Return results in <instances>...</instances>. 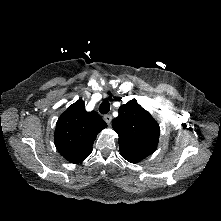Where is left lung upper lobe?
<instances>
[{
  "label": "left lung upper lobe",
  "instance_id": "left-lung-upper-lobe-1",
  "mask_svg": "<svg viewBox=\"0 0 221 221\" xmlns=\"http://www.w3.org/2000/svg\"><path fill=\"white\" fill-rule=\"evenodd\" d=\"M118 112L112 127L119 136L120 153L127 161L137 163L156 150L160 127L136 100L120 106Z\"/></svg>",
  "mask_w": 221,
  "mask_h": 221
}]
</instances>
